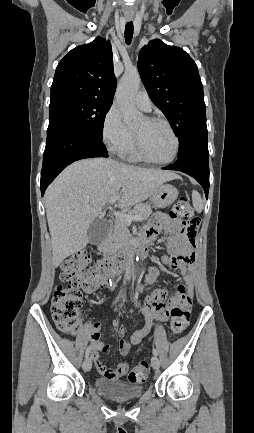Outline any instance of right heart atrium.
Instances as JSON below:
<instances>
[{
	"instance_id": "1",
	"label": "right heart atrium",
	"mask_w": 254,
	"mask_h": 433,
	"mask_svg": "<svg viewBox=\"0 0 254 433\" xmlns=\"http://www.w3.org/2000/svg\"><path fill=\"white\" fill-rule=\"evenodd\" d=\"M101 137L107 150L114 155H122L134 141L132 131L125 125L121 113L114 106L103 119Z\"/></svg>"
}]
</instances>
